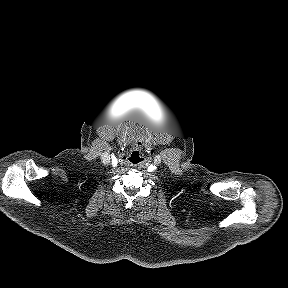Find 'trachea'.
I'll list each match as a JSON object with an SVG mask.
<instances>
[{"mask_svg": "<svg viewBox=\"0 0 288 288\" xmlns=\"http://www.w3.org/2000/svg\"><path fill=\"white\" fill-rule=\"evenodd\" d=\"M143 160H144V156L140 149H134L128 155V161L129 163L133 165H138L142 163Z\"/></svg>", "mask_w": 288, "mask_h": 288, "instance_id": "trachea-1", "label": "trachea"}]
</instances>
